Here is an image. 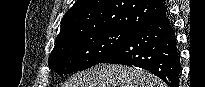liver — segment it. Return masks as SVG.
Segmentation results:
<instances>
[{"mask_svg": "<svg viewBox=\"0 0 205 87\" xmlns=\"http://www.w3.org/2000/svg\"><path fill=\"white\" fill-rule=\"evenodd\" d=\"M64 87H164V84L145 70L101 64L75 74Z\"/></svg>", "mask_w": 205, "mask_h": 87, "instance_id": "obj_1", "label": "liver"}]
</instances>
